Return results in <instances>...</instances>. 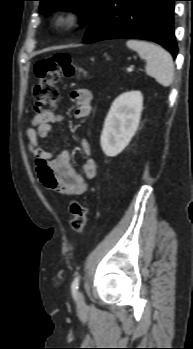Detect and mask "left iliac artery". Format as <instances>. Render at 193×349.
Returning a JSON list of instances; mask_svg holds the SVG:
<instances>
[{"mask_svg":"<svg viewBox=\"0 0 193 349\" xmlns=\"http://www.w3.org/2000/svg\"><path fill=\"white\" fill-rule=\"evenodd\" d=\"M79 282H80V276L77 275L75 277V279L73 280L72 285H71V291H72V295H73L74 298H76V296H77V291H78V288H79Z\"/></svg>","mask_w":193,"mask_h":349,"instance_id":"left-iliac-artery-1","label":"left iliac artery"}]
</instances>
